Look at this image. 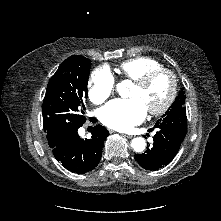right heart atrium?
I'll return each instance as SVG.
<instances>
[{
	"mask_svg": "<svg viewBox=\"0 0 221 221\" xmlns=\"http://www.w3.org/2000/svg\"><path fill=\"white\" fill-rule=\"evenodd\" d=\"M115 81L107 68L95 69L89 79V99L95 104L105 102L113 93Z\"/></svg>",
	"mask_w": 221,
	"mask_h": 221,
	"instance_id": "right-heart-atrium-1",
	"label": "right heart atrium"
}]
</instances>
